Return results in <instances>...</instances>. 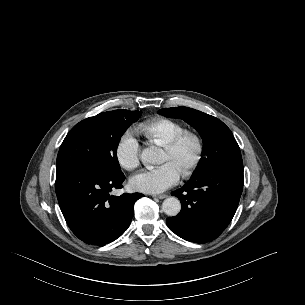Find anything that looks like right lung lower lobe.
I'll return each instance as SVG.
<instances>
[{"instance_id":"right-lung-lower-lobe-1","label":"right lung lower lobe","mask_w":305,"mask_h":305,"mask_svg":"<svg viewBox=\"0 0 305 305\" xmlns=\"http://www.w3.org/2000/svg\"><path fill=\"white\" fill-rule=\"evenodd\" d=\"M124 174H97L79 169L56 172L55 190L62 214L84 243L104 246L129 227L141 193L110 195L122 188Z\"/></svg>"}]
</instances>
